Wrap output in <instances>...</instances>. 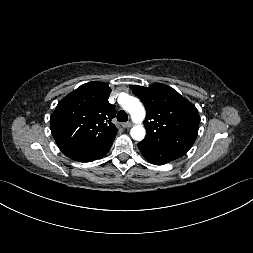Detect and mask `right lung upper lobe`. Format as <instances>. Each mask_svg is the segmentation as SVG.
Masks as SVG:
<instances>
[{"mask_svg":"<svg viewBox=\"0 0 253 253\" xmlns=\"http://www.w3.org/2000/svg\"><path fill=\"white\" fill-rule=\"evenodd\" d=\"M111 88L104 82H89L69 93L51 115L52 135L67 157L116 136L111 122L116 110L108 102Z\"/></svg>","mask_w":253,"mask_h":253,"instance_id":"obj_1","label":"right lung upper lobe"}]
</instances>
